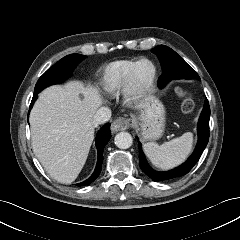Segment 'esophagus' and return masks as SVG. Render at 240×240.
<instances>
[{
	"label": "esophagus",
	"instance_id": "obj_1",
	"mask_svg": "<svg viewBox=\"0 0 240 240\" xmlns=\"http://www.w3.org/2000/svg\"><path fill=\"white\" fill-rule=\"evenodd\" d=\"M130 119L120 117L115 119L111 124V130L113 132L123 131L129 127Z\"/></svg>",
	"mask_w": 240,
	"mask_h": 240
}]
</instances>
